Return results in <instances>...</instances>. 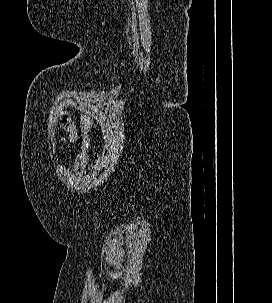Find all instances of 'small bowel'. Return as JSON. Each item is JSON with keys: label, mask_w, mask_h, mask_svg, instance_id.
<instances>
[{"label": "small bowel", "mask_w": 272, "mask_h": 303, "mask_svg": "<svg viewBox=\"0 0 272 303\" xmlns=\"http://www.w3.org/2000/svg\"><path fill=\"white\" fill-rule=\"evenodd\" d=\"M62 127L69 139H74L76 137V129L69 117H63Z\"/></svg>", "instance_id": "small-bowel-1"}]
</instances>
